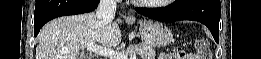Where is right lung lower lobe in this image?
Returning a JSON list of instances; mask_svg holds the SVG:
<instances>
[{"mask_svg": "<svg viewBox=\"0 0 261 59\" xmlns=\"http://www.w3.org/2000/svg\"><path fill=\"white\" fill-rule=\"evenodd\" d=\"M98 3L99 0H36L34 36L48 21L60 16L91 12Z\"/></svg>", "mask_w": 261, "mask_h": 59, "instance_id": "right-lung-lower-lobe-1", "label": "right lung lower lobe"}]
</instances>
